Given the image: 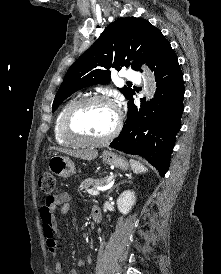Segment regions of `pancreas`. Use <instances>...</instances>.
Returning a JSON list of instances; mask_svg holds the SVG:
<instances>
[{
    "label": "pancreas",
    "mask_w": 221,
    "mask_h": 274,
    "mask_svg": "<svg viewBox=\"0 0 221 274\" xmlns=\"http://www.w3.org/2000/svg\"><path fill=\"white\" fill-rule=\"evenodd\" d=\"M107 182V178L92 179L87 178L80 184V190H88L91 186H103Z\"/></svg>",
    "instance_id": "cf45deb5"
}]
</instances>
